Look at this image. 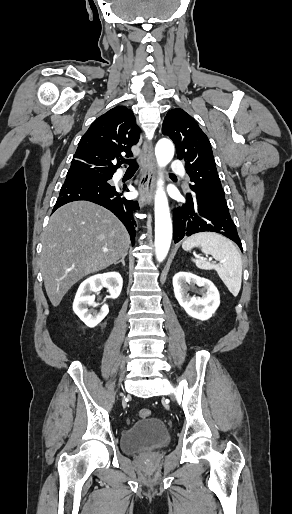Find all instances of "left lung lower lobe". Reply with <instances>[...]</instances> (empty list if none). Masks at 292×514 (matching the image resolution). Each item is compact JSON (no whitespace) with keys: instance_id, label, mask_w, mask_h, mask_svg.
Instances as JSON below:
<instances>
[{"instance_id":"obj_1","label":"left lung lower lobe","mask_w":292,"mask_h":514,"mask_svg":"<svg viewBox=\"0 0 292 514\" xmlns=\"http://www.w3.org/2000/svg\"><path fill=\"white\" fill-rule=\"evenodd\" d=\"M203 231L220 233L237 243L242 250L226 200H207L188 193L186 203L173 212L174 242Z\"/></svg>"}]
</instances>
